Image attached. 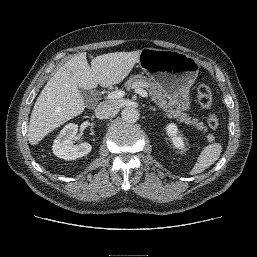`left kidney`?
Wrapping results in <instances>:
<instances>
[{
	"mask_svg": "<svg viewBox=\"0 0 257 257\" xmlns=\"http://www.w3.org/2000/svg\"><path fill=\"white\" fill-rule=\"evenodd\" d=\"M168 136L171 137L174 147L178 149H183L185 144L183 137L178 134L177 126L174 123H170L166 127Z\"/></svg>",
	"mask_w": 257,
	"mask_h": 257,
	"instance_id": "1",
	"label": "left kidney"
}]
</instances>
